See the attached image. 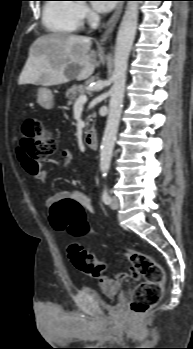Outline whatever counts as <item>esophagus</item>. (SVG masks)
<instances>
[{
  "mask_svg": "<svg viewBox=\"0 0 193 349\" xmlns=\"http://www.w3.org/2000/svg\"><path fill=\"white\" fill-rule=\"evenodd\" d=\"M122 9H123V3L122 1H119V3L116 5V8L113 14L111 15V17L109 18V20L104 26L103 34L100 39L101 44H104L112 36L116 28V25L118 23V20L121 16Z\"/></svg>",
  "mask_w": 193,
  "mask_h": 349,
  "instance_id": "esophagus-1",
  "label": "esophagus"
}]
</instances>
